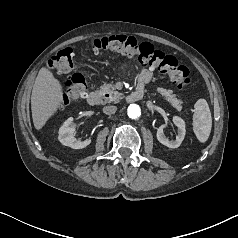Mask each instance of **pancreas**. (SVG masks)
I'll list each match as a JSON object with an SVG mask.
<instances>
[{
    "label": "pancreas",
    "instance_id": "1",
    "mask_svg": "<svg viewBox=\"0 0 238 238\" xmlns=\"http://www.w3.org/2000/svg\"><path fill=\"white\" fill-rule=\"evenodd\" d=\"M156 91L160 93L162 97L167 100L177 111L182 110V101L176 97L172 90L158 87ZM98 92L102 95L108 94L109 100L113 102H117L123 98V94L116 91V88L112 83L103 84Z\"/></svg>",
    "mask_w": 238,
    "mask_h": 238
}]
</instances>
